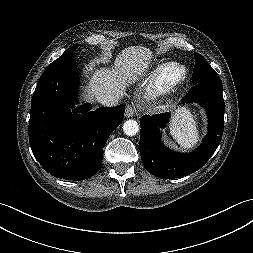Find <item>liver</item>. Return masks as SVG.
Wrapping results in <instances>:
<instances>
[{
    "mask_svg": "<svg viewBox=\"0 0 253 253\" xmlns=\"http://www.w3.org/2000/svg\"><path fill=\"white\" fill-rule=\"evenodd\" d=\"M152 58V51L144 46H130L122 50L115 60L114 69L94 70L90 64L87 70L92 72L88 82V98L97 95L125 94L128 82L135 80L148 68Z\"/></svg>",
    "mask_w": 253,
    "mask_h": 253,
    "instance_id": "obj_1",
    "label": "liver"
}]
</instances>
